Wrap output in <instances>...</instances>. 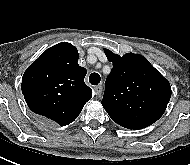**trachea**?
Instances as JSON below:
<instances>
[{
    "label": "trachea",
    "instance_id": "obj_1",
    "mask_svg": "<svg viewBox=\"0 0 190 165\" xmlns=\"http://www.w3.org/2000/svg\"><path fill=\"white\" fill-rule=\"evenodd\" d=\"M101 80V77L98 73H92L90 76H89V82L92 84V85H98L99 82Z\"/></svg>",
    "mask_w": 190,
    "mask_h": 165
}]
</instances>
